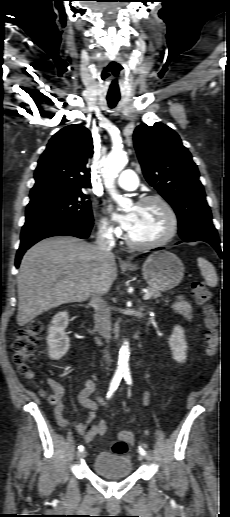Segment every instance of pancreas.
<instances>
[{
	"label": "pancreas",
	"instance_id": "cf45deb5",
	"mask_svg": "<svg viewBox=\"0 0 230 517\" xmlns=\"http://www.w3.org/2000/svg\"><path fill=\"white\" fill-rule=\"evenodd\" d=\"M147 289H148V292L151 293V297L153 299H158V298L162 297V294H161V292L159 290L154 289L152 287H148Z\"/></svg>",
	"mask_w": 230,
	"mask_h": 517
}]
</instances>
